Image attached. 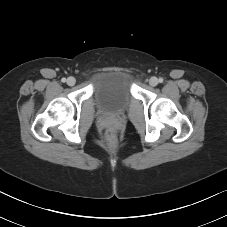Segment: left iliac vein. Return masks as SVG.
<instances>
[{
    "instance_id": "4c4485c4",
    "label": "left iliac vein",
    "mask_w": 227,
    "mask_h": 227,
    "mask_svg": "<svg viewBox=\"0 0 227 227\" xmlns=\"http://www.w3.org/2000/svg\"><path fill=\"white\" fill-rule=\"evenodd\" d=\"M149 84L153 87L156 86L158 84V79L156 77H151L149 79Z\"/></svg>"
}]
</instances>
